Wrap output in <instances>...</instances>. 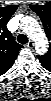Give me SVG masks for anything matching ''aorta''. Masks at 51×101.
Wrapping results in <instances>:
<instances>
[{"label":"aorta","mask_w":51,"mask_h":101,"mask_svg":"<svg viewBox=\"0 0 51 101\" xmlns=\"http://www.w3.org/2000/svg\"><path fill=\"white\" fill-rule=\"evenodd\" d=\"M20 27L34 41L36 52L40 55L45 54L48 50V40L38 22L26 16L22 19Z\"/></svg>","instance_id":"aorta-1"}]
</instances>
